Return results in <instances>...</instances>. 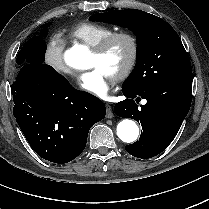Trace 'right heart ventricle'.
<instances>
[{
    "label": "right heart ventricle",
    "instance_id": "right-heart-ventricle-1",
    "mask_svg": "<svg viewBox=\"0 0 209 209\" xmlns=\"http://www.w3.org/2000/svg\"><path fill=\"white\" fill-rule=\"evenodd\" d=\"M114 32V29L108 25L82 22L67 31L69 37H72L90 47L97 46L101 41Z\"/></svg>",
    "mask_w": 209,
    "mask_h": 209
}]
</instances>
